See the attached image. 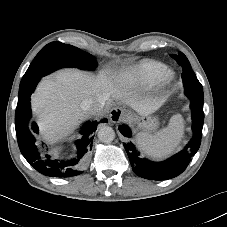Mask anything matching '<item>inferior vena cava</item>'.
<instances>
[{
  "label": "inferior vena cava",
  "mask_w": 227,
  "mask_h": 227,
  "mask_svg": "<svg viewBox=\"0 0 227 227\" xmlns=\"http://www.w3.org/2000/svg\"><path fill=\"white\" fill-rule=\"evenodd\" d=\"M104 105V99H100L98 101H95L93 99H86L82 102L81 106L87 114H96L103 109Z\"/></svg>",
  "instance_id": "1"
}]
</instances>
